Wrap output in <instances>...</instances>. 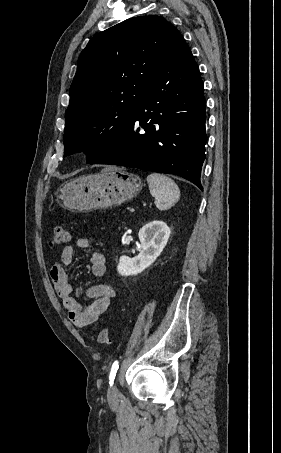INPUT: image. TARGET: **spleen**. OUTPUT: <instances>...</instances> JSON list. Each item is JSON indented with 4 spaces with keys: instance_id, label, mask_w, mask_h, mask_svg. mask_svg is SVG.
<instances>
[{
    "instance_id": "1",
    "label": "spleen",
    "mask_w": 281,
    "mask_h": 453,
    "mask_svg": "<svg viewBox=\"0 0 281 453\" xmlns=\"http://www.w3.org/2000/svg\"><path fill=\"white\" fill-rule=\"evenodd\" d=\"M147 182L152 196H155V204L159 210H168L174 206L180 198V190L169 176L152 172L148 174Z\"/></svg>"
}]
</instances>
